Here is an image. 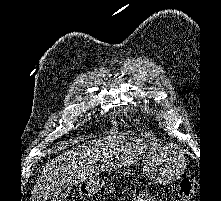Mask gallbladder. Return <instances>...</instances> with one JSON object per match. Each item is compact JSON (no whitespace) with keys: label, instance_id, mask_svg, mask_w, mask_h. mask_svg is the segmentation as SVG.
I'll use <instances>...</instances> for the list:
<instances>
[{"label":"gallbladder","instance_id":"1","mask_svg":"<svg viewBox=\"0 0 221 201\" xmlns=\"http://www.w3.org/2000/svg\"><path fill=\"white\" fill-rule=\"evenodd\" d=\"M70 191L69 186H59L51 192L49 196L50 201H64L70 194Z\"/></svg>","mask_w":221,"mask_h":201}]
</instances>
